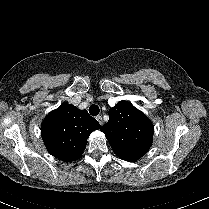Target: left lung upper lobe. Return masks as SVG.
Wrapping results in <instances>:
<instances>
[{
    "instance_id": "1",
    "label": "left lung upper lobe",
    "mask_w": 209,
    "mask_h": 209,
    "mask_svg": "<svg viewBox=\"0 0 209 209\" xmlns=\"http://www.w3.org/2000/svg\"><path fill=\"white\" fill-rule=\"evenodd\" d=\"M154 127L140 110L128 101H120L109 110V121L101 127L113 151L134 162L149 150Z\"/></svg>"
}]
</instances>
